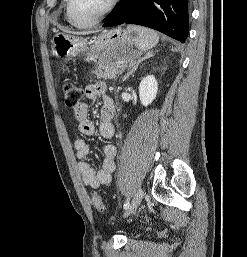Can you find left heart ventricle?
<instances>
[{"instance_id": "1", "label": "left heart ventricle", "mask_w": 247, "mask_h": 257, "mask_svg": "<svg viewBox=\"0 0 247 257\" xmlns=\"http://www.w3.org/2000/svg\"><path fill=\"white\" fill-rule=\"evenodd\" d=\"M110 0H72L74 18L86 23L95 19L109 4Z\"/></svg>"}]
</instances>
